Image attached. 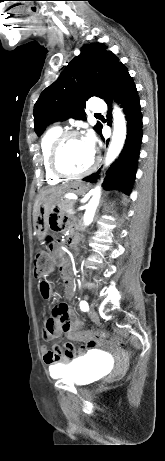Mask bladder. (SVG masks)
<instances>
[{
    "label": "bladder",
    "instance_id": "bladder-1",
    "mask_svg": "<svg viewBox=\"0 0 165 461\" xmlns=\"http://www.w3.org/2000/svg\"><path fill=\"white\" fill-rule=\"evenodd\" d=\"M105 371L102 359L90 354L63 366L58 377L71 381L77 386H85L101 378Z\"/></svg>",
    "mask_w": 165,
    "mask_h": 461
}]
</instances>
